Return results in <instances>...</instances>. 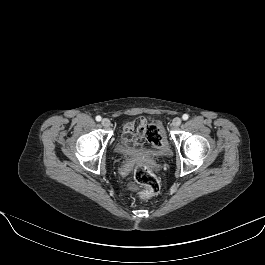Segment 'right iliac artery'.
Returning a JSON list of instances; mask_svg holds the SVG:
<instances>
[{"label":"right iliac artery","mask_w":265,"mask_h":265,"mask_svg":"<svg viewBox=\"0 0 265 265\" xmlns=\"http://www.w3.org/2000/svg\"><path fill=\"white\" fill-rule=\"evenodd\" d=\"M96 121H101V116H96Z\"/></svg>","instance_id":"obj_1"}]
</instances>
